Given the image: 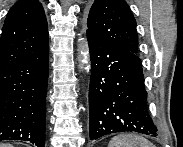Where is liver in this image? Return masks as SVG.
<instances>
[{
  "instance_id": "liver-1",
  "label": "liver",
  "mask_w": 183,
  "mask_h": 147,
  "mask_svg": "<svg viewBox=\"0 0 183 147\" xmlns=\"http://www.w3.org/2000/svg\"><path fill=\"white\" fill-rule=\"evenodd\" d=\"M0 147H12L11 144H0Z\"/></svg>"
}]
</instances>
